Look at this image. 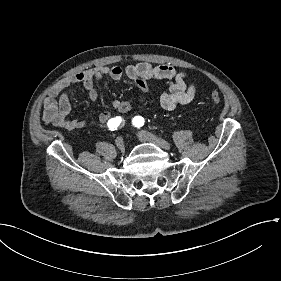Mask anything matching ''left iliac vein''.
Wrapping results in <instances>:
<instances>
[{
  "label": "left iliac vein",
  "mask_w": 281,
  "mask_h": 281,
  "mask_svg": "<svg viewBox=\"0 0 281 281\" xmlns=\"http://www.w3.org/2000/svg\"><path fill=\"white\" fill-rule=\"evenodd\" d=\"M138 138L141 142H151L163 149L169 150L170 145L167 141H165L162 138L157 137L156 135L146 132V131H140L138 133Z\"/></svg>",
  "instance_id": "obj_1"
}]
</instances>
